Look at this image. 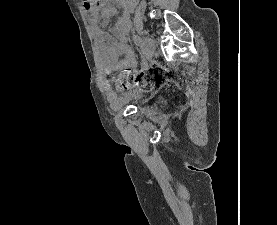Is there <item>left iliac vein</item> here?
I'll use <instances>...</instances> for the list:
<instances>
[{
    "instance_id": "1",
    "label": "left iliac vein",
    "mask_w": 277,
    "mask_h": 225,
    "mask_svg": "<svg viewBox=\"0 0 277 225\" xmlns=\"http://www.w3.org/2000/svg\"><path fill=\"white\" fill-rule=\"evenodd\" d=\"M143 44H144V49L146 51L147 58L151 60L156 50L155 40L151 37H144Z\"/></svg>"
}]
</instances>
